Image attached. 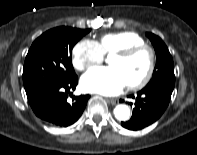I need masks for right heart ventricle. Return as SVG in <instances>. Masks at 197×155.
I'll use <instances>...</instances> for the list:
<instances>
[{
  "mask_svg": "<svg viewBox=\"0 0 197 155\" xmlns=\"http://www.w3.org/2000/svg\"><path fill=\"white\" fill-rule=\"evenodd\" d=\"M98 43L104 54H112L123 48L143 45L145 41L134 31H119L104 34Z\"/></svg>",
  "mask_w": 197,
  "mask_h": 155,
  "instance_id": "e07e8e85",
  "label": "right heart ventricle"
}]
</instances>
